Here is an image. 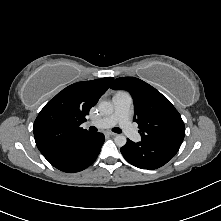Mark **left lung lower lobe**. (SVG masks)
I'll return each mask as SVG.
<instances>
[{
	"instance_id": "obj_1",
	"label": "left lung lower lobe",
	"mask_w": 221,
	"mask_h": 221,
	"mask_svg": "<svg viewBox=\"0 0 221 221\" xmlns=\"http://www.w3.org/2000/svg\"><path fill=\"white\" fill-rule=\"evenodd\" d=\"M179 148L171 145L134 143L127 139L121 148L123 157L132 165L142 169H157L170 161Z\"/></svg>"
}]
</instances>
